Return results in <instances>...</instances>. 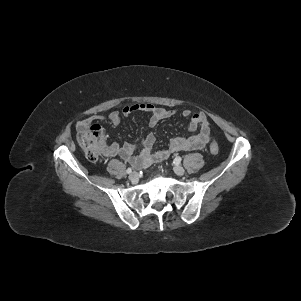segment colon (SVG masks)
<instances>
[{
  "mask_svg": "<svg viewBox=\"0 0 301 301\" xmlns=\"http://www.w3.org/2000/svg\"><path fill=\"white\" fill-rule=\"evenodd\" d=\"M78 142L88 160L96 162L103 154L105 147V130L99 124L90 123L78 130ZM210 152L213 155L219 152V146L214 139L210 143Z\"/></svg>",
  "mask_w": 301,
  "mask_h": 301,
  "instance_id": "1",
  "label": "colon"
}]
</instances>
